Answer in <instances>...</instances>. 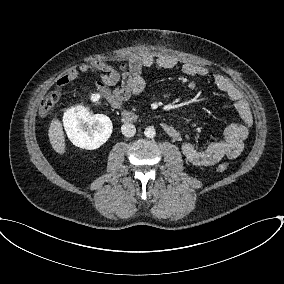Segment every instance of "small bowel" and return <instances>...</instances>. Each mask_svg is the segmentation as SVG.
Wrapping results in <instances>:
<instances>
[{
    "label": "small bowel",
    "mask_w": 284,
    "mask_h": 284,
    "mask_svg": "<svg viewBox=\"0 0 284 284\" xmlns=\"http://www.w3.org/2000/svg\"><path fill=\"white\" fill-rule=\"evenodd\" d=\"M178 65V59L170 54L145 53L132 56L129 59V70L120 74L105 62L93 61L68 71L57 81V85L63 87L74 80L81 72L90 70L99 75V81L95 83V88L101 96L110 105L118 107L121 102L144 90L145 80L142 74L145 68L156 66L172 69ZM181 69L188 76H210L206 68L192 62L183 63ZM211 79L215 87L233 102L238 121L232 122L225 128L223 139L211 142L203 148H198L190 142L182 143L181 150L185 158L198 166L213 165L225 157H238L243 151L244 142L248 137L249 128L253 121L250 107L235 84L221 74H214ZM119 82H121V86L113 88ZM175 139L180 141L181 135L178 133Z\"/></svg>",
    "instance_id": "obj_1"
}]
</instances>
